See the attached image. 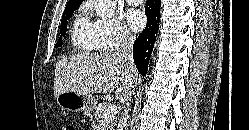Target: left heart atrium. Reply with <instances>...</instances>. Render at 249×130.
Masks as SVG:
<instances>
[{"label": "left heart atrium", "mask_w": 249, "mask_h": 130, "mask_svg": "<svg viewBox=\"0 0 249 130\" xmlns=\"http://www.w3.org/2000/svg\"><path fill=\"white\" fill-rule=\"evenodd\" d=\"M127 20L134 31H140L146 24L145 14L138 9H131L127 12Z\"/></svg>", "instance_id": "39dd6f15"}]
</instances>
